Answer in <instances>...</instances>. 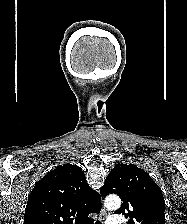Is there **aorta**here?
I'll use <instances>...</instances> for the list:
<instances>
[{
    "label": "aorta",
    "mask_w": 187,
    "mask_h": 224,
    "mask_svg": "<svg viewBox=\"0 0 187 224\" xmlns=\"http://www.w3.org/2000/svg\"><path fill=\"white\" fill-rule=\"evenodd\" d=\"M120 205H121V199L116 195L108 196L104 201V206L108 210H117L120 207Z\"/></svg>",
    "instance_id": "obj_1"
}]
</instances>
